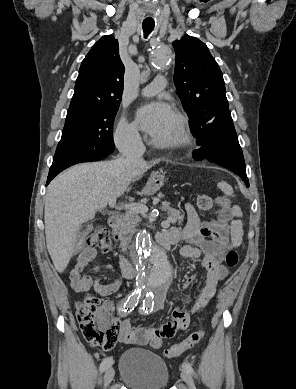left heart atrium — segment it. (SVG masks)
Segmentation results:
<instances>
[{
    "instance_id": "39dd6f15",
    "label": "left heart atrium",
    "mask_w": 296,
    "mask_h": 389,
    "mask_svg": "<svg viewBox=\"0 0 296 389\" xmlns=\"http://www.w3.org/2000/svg\"><path fill=\"white\" fill-rule=\"evenodd\" d=\"M171 107L162 101H156L140 107L136 113L139 127L151 136L159 135L173 117Z\"/></svg>"
}]
</instances>
